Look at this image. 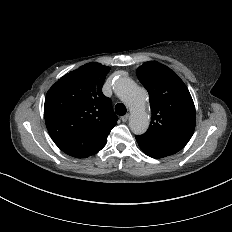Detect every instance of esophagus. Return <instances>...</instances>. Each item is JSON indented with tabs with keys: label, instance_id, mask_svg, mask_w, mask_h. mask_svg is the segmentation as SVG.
Masks as SVG:
<instances>
[{
	"label": "esophagus",
	"instance_id": "1",
	"mask_svg": "<svg viewBox=\"0 0 232 232\" xmlns=\"http://www.w3.org/2000/svg\"><path fill=\"white\" fill-rule=\"evenodd\" d=\"M128 118H129V114H125V115H123L122 117H121V120H122V122H127V120H128Z\"/></svg>",
	"mask_w": 232,
	"mask_h": 232
}]
</instances>
